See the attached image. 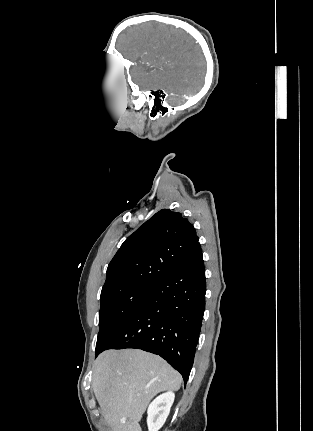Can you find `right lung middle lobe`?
Masks as SVG:
<instances>
[{
  "label": "right lung middle lobe",
  "instance_id": "right-lung-middle-lobe-1",
  "mask_svg": "<svg viewBox=\"0 0 313 431\" xmlns=\"http://www.w3.org/2000/svg\"><path fill=\"white\" fill-rule=\"evenodd\" d=\"M155 287L135 288L108 293L100 297L99 327L96 351L99 350L129 315Z\"/></svg>",
  "mask_w": 313,
  "mask_h": 431
}]
</instances>
